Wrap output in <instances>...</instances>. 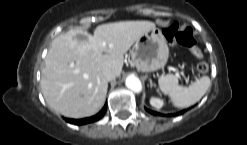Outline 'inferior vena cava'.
Returning a JSON list of instances; mask_svg holds the SVG:
<instances>
[{"instance_id": "inferior-vena-cava-1", "label": "inferior vena cava", "mask_w": 247, "mask_h": 145, "mask_svg": "<svg viewBox=\"0 0 247 145\" xmlns=\"http://www.w3.org/2000/svg\"><path fill=\"white\" fill-rule=\"evenodd\" d=\"M102 75L106 81H111L115 79V73L111 69H104Z\"/></svg>"}]
</instances>
